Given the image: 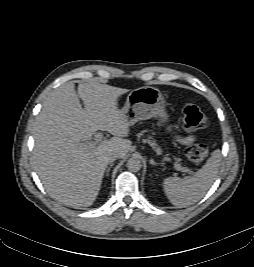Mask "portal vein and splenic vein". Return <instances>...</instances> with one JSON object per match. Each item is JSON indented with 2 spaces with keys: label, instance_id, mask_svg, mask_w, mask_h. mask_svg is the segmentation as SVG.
<instances>
[{
  "label": "portal vein and splenic vein",
  "instance_id": "obj_1",
  "mask_svg": "<svg viewBox=\"0 0 254 267\" xmlns=\"http://www.w3.org/2000/svg\"><path fill=\"white\" fill-rule=\"evenodd\" d=\"M103 139V134L101 132H97L95 135H94V141H86L84 143H82L84 146H91V145H96L98 144L99 142H101ZM174 168L177 170V171H182V172H188L189 170L184 168V167H181L179 164H176L174 163L173 164Z\"/></svg>",
  "mask_w": 254,
  "mask_h": 267
}]
</instances>
